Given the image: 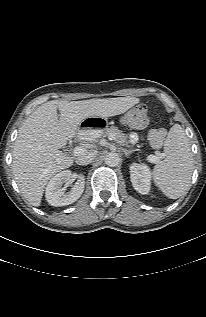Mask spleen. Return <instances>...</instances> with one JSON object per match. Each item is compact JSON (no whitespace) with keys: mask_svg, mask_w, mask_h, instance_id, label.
Here are the masks:
<instances>
[{"mask_svg":"<svg viewBox=\"0 0 206 317\" xmlns=\"http://www.w3.org/2000/svg\"><path fill=\"white\" fill-rule=\"evenodd\" d=\"M164 156L153 169V180L165 196L177 199L189 189L194 170L189 140L179 124L168 133Z\"/></svg>","mask_w":206,"mask_h":317,"instance_id":"spleen-1","label":"spleen"}]
</instances>
